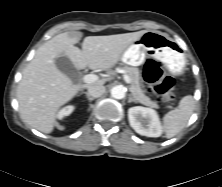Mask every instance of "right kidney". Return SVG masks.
Masks as SVG:
<instances>
[{"label":"right kidney","mask_w":222,"mask_h":187,"mask_svg":"<svg viewBox=\"0 0 222 187\" xmlns=\"http://www.w3.org/2000/svg\"><path fill=\"white\" fill-rule=\"evenodd\" d=\"M73 110H74L73 106H67L62 110H60L57 116L59 119H62L63 117L70 115L73 112Z\"/></svg>","instance_id":"right-kidney-1"}]
</instances>
